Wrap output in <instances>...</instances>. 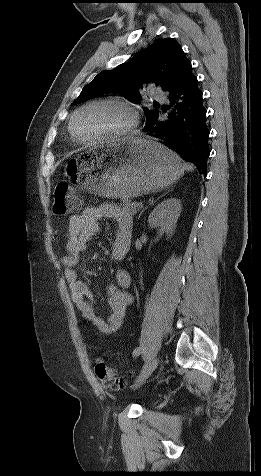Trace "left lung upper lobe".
I'll list each match as a JSON object with an SVG mask.
<instances>
[{"mask_svg":"<svg viewBox=\"0 0 261 476\" xmlns=\"http://www.w3.org/2000/svg\"><path fill=\"white\" fill-rule=\"evenodd\" d=\"M191 63L181 46L171 38L156 39L148 48L137 53L129 62L115 69L102 71L83 87L73 103H80L98 94L121 93L129 101L139 103V89L155 83L165 91L173 90ZM148 122L159 114L157 109H144Z\"/></svg>","mask_w":261,"mask_h":476,"instance_id":"left-lung-upper-lobe-1","label":"left lung upper lobe"}]
</instances>
